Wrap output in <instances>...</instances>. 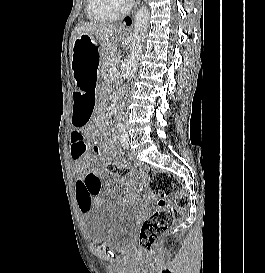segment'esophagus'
<instances>
[{
    "instance_id": "obj_1",
    "label": "esophagus",
    "mask_w": 265,
    "mask_h": 273,
    "mask_svg": "<svg viewBox=\"0 0 265 273\" xmlns=\"http://www.w3.org/2000/svg\"><path fill=\"white\" fill-rule=\"evenodd\" d=\"M140 2H141V0H137L132 13L123 18V20H122L123 25L128 26V27H131L133 25L134 13H135L136 9L138 8V6L140 5Z\"/></svg>"
}]
</instances>
